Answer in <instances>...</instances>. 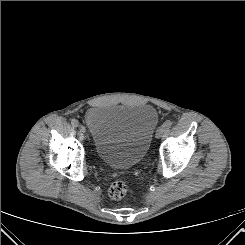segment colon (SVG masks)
Returning a JSON list of instances; mask_svg holds the SVG:
<instances>
[{
    "label": "colon",
    "instance_id": "obj_1",
    "mask_svg": "<svg viewBox=\"0 0 245 245\" xmlns=\"http://www.w3.org/2000/svg\"><path fill=\"white\" fill-rule=\"evenodd\" d=\"M130 192V185L127 181L120 180L114 182L109 188V196L113 200H121Z\"/></svg>",
    "mask_w": 245,
    "mask_h": 245
}]
</instances>
